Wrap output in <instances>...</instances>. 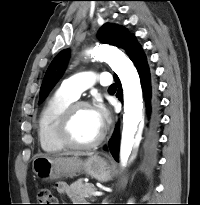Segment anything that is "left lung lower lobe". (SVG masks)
I'll list each match as a JSON object with an SVG mask.
<instances>
[{
	"label": "left lung lower lobe",
	"mask_w": 200,
	"mask_h": 205,
	"mask_svg": "<svg viewBox=\"0 0 200 205\" xmlns=\"http://www.w3.org/2000/svg\"><path fill=\"white\" fill-rule=\"evenodd\" d=\"M128 56L134 63L135 67L140 76L142 90L144 94V98L146 100V108L148 115V130L145 144V152L146 158L149 162H153L155 160L156 148H157V130L159 126V101L157 98V89L152 80L150 70L147 64L146 57L133 36L128 42L125 48ZM118 92L117 97L119 100H123V92L121 89V83L119 82L118 77L114 76ZM109 149L115 160L118 161V153H119V122L115 127V131L113 133L112 138L109 141Z\"/></svg>",
	"instance_id": "obj_1"
}]
</instances>
